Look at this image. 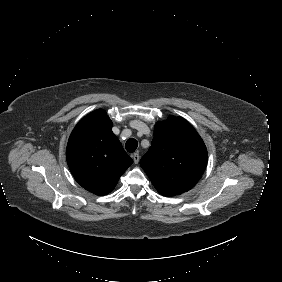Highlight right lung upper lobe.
Wrapping results in <instances>:
<instances>
[{"mask_svg": "<svg viewBox=\"0 0 282 282\" xmlns=\"http://www.w3.org/2000/svg\"><path fill=\"white\" fill-rule=\"evenodd\" d=\"M107 113L95 110L72 131L66 159L75 180L96 195H106L133 163L112 132Z\"/></svg>", "mask_w": 282, "mask_h": 282, "instance_id": "obj_1", "label": "right lung upper lobe"}]
</instances>
